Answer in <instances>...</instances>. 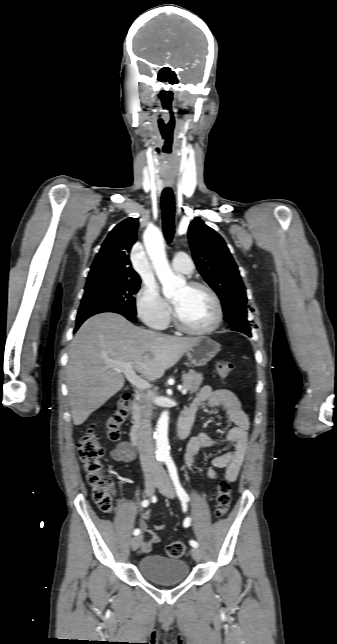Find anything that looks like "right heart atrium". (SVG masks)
<instances>
[{"instance_id": "obj_1", "label": "right heart atrium", "mask_w": 337, "mask_h": 644, "mask_svg": "<svg viewBox=\"0 0 337 644\" xmlns=\"http://www.w3.org/2000/svg\"><path fill=\"white\" fill-rule=\"evenodd\" d=\"M137 310L140 318L148 326L164 328L170 317L167 302L161 297L158 287L154 283L145 284L137 297Z\"/></svg>"}]
</instances>
